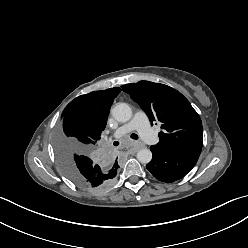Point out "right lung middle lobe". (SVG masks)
I'll list each match as a JSON object with an SVG mask.
<instances>
[{
    "mask_svg": "<svg viewBox=\"0 0 248 248\" xmlns=\"http://www.w3.org/2000/svg\"><path fill=\"white\" fill-rule=\"evenodd\" d=\"M96 137L78 113L64 116L62 129L56 136V149L64 173L74 183L88 190L107 188L117 175L108 161L93 154L90 145ZM75 155L87 156L84 166L76 164Z\"/></svg>",
    "mask_w": 248,
    "mask_h": 248,
    "instance_id": "1",
    "label": "right lung middle lobe"
}]
</instances>
